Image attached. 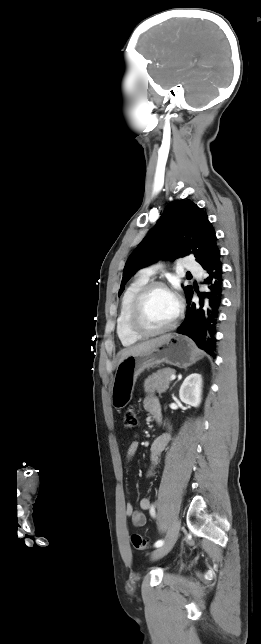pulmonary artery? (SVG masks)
<instances>
[{
    "label": "pulmonary artery",
    "instance_id": "pulmonary-artery-1",
    "mask_svg": "<svg viewBox=\"0 0 261 644\" xmlns=\"http://www.w3.org/2000/svg\"><path fill=\"white\" fill-rule=\"evenodd\" d=\"M183 267L191 272L199 274L201 272L200 266L190 257H186L183 259ZM158 266L153 265L146 267L141 270V273L150 277L155 274L157 271Z\"/></svg>",
    "mask_w": 261,
    "mask_h": 644
}]
</instances>
